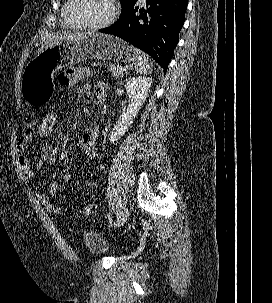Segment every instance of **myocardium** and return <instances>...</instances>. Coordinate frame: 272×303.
Returning a JSON list of instances; mask_svg holds the SVG:
<instances>
[{
	"mask_svg": "<svg viewBox=\"0 0 272 303\" xmlns=\"http://www.w3.org/2000/svg\"><path fill=\"white\" fill-rule=\"evenodd\" d=\"M74 0H67L63 8V19L72 28L81 30H100L110 26L116 19L119 13L117 0H109L111 11L108 18L99 24H81L76 23L69 17V8Z\"/></svg>",
	"mask_w": 272,
	"mask_h": 303,
	"instance_id": "1",
	"label": "myocardium"
}]
</instances>
